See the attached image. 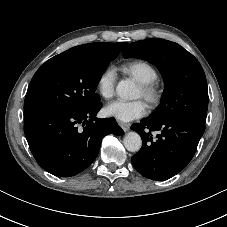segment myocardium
<instances>
[{
  "label": "myocardium",
  "mask_w": 227,
  "mask_h": 227,
  "mask_svg": "<svg viewBox=\"0 0 227 227\" xmlns=\"http://www.w3.org/2000/svg\"><path fill=\"white\" fill-rule=\"evenodd\" d=\"M142 98L150 108L160 105L163 98V89L154 81L151 83L139 84Z\"/></svg>",
  "instance_id": "1"
}]
</instances>
